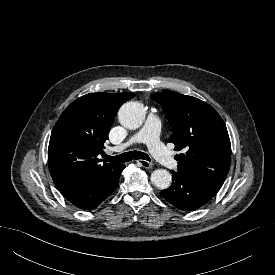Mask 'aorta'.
<instances>
[{
  "label": "aorta",
  "instance_id": "762f6f07",
  "mask_svg": "<svg viewBox=\"0 0 275 275\" xmlns=\"http://www.w3.org/2000/svg\"><path fill=\"white\" fill-rule=\"evenodd\" d=\"M119 122L126 128L138 129L144 122V106L135 101L123 104L118 112ZM151 182L158 189H167L171 184V174L165 169L154 170L151 174Z\"/></svg>",
  "mask_w": 275,
  "mask_h": 275
}]
</instances>
